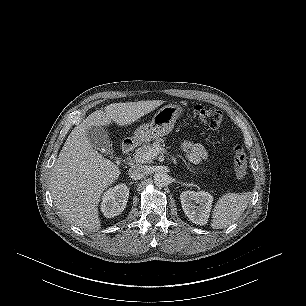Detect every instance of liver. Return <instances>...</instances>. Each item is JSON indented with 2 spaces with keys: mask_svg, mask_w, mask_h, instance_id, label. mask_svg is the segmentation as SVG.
Segmentation results:
<instances>
[{
  "mask_svg": "<svg viewBox=\"0 0 306 306\" xmlns=\"http://www.w3.org/2000/svg\"><path fill=\"white\" fill-rule=\"evenodd\" d=\"M162 100L113 103L91 113L69 134L52 169L50 189L61 216L87 231L101 228L98 204L119 168L96 151L87 136L92 126H127L162 105Z\"/></svg>",
  "mask_w": 306,
  "mask_h": 306,
  "instance_id": "obj_1",
  "label": "liver"
}]
</instances>
